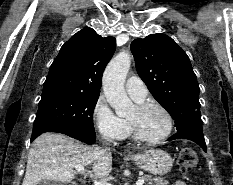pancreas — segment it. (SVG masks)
<instances>
[{
  "mask_svg": "<svg viewBox=\"0 0 233 185\" xmlns=\"http://www.w3.org/2000/svg\"><path fill=\"white\" fill-rule=\"evenodd\" d=\"M140 179H143L147 182V185H168V181L162 177H154L152 175L141 176Z\"/></svg>",
  "mask_w": 233,
  "mask_h": 185,
  "instance_id": "cf45deb5",
  "label": "pancreas"
}]
</instances>
